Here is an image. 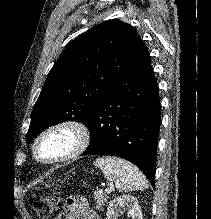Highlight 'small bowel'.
<instances>
[{"mask_svg":"<svg viewBox=\"0 0 211 219\" xmlns=\"http://www.w3.org/2000/svg\"><path fill=\"white\" fill-rule=\"evenodd\" d=\"M54 219H100L83 197L70 198Z\"/></svg>","mask_w":211,"mask_h":219,"instance_id":"c3829d8e","label":"small bowel"}]
</instances>
